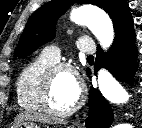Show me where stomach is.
I'll list each match as a JSON object with an SVG mask.
<instances>
[{
  "mask_svg": "<svg viewBox=\"0 0 142 128\" xmlns=\"http://www.w3.org/2000/svg\"><path fill=\"white\" fill-rule=\"evenodd\" d=\"M13 128H40L36 123L30 121H22L14 125Z\"/></svg>",
  "mask_w": 142,
  "mask_h": 128,
  "instance_id": "0dacf381",
  "label": "stomach"
}]
</instances>
